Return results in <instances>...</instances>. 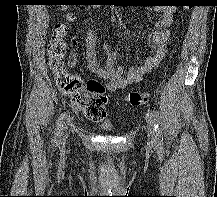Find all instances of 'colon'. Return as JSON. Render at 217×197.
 <instances>
[{
    "instance_id": "colon-1",
    "label": "colon",
    "mask_w": 217,
    "mask_h": 197,
    "mask_svg": "<svg viewBox=\"0 0 217 197\" xmlns=\"http://www.w3.org/2000/svg\"><path fill=\"white\" fill-rule=\"evenodd\" d=\"M66 52V27L57 24L48 44L49 65L56 85L73 109L92 121H103L107 115L105 87L95 80L84 84L77 75L70 73L66 69ZM150 98L148 93L131 92L126 96V101L132 106H140L148 103Z\"/></svg>"
}]
</instances>
